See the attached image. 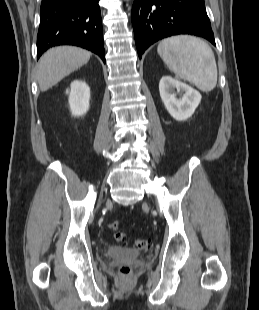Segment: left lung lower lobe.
<instances>
[{"mask_svg": "<svg viewBox=\"0 0 259 310\" xmlns=\"http://www.w3.org/2000/svg\"><path fill=\"white\" fill-rule=\"evenodd\" d=\"M132 25L139 58L154 42L177 34H191L215 45L204 0H135Z\"/></svg>", "mask_w": 259, "mask_h": 310, "instance_id": "1", "label": "left lung lower lobe"}]
</instances>
